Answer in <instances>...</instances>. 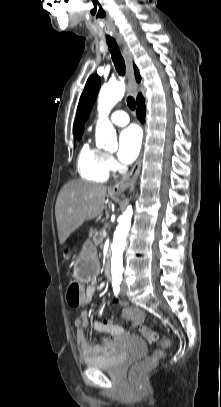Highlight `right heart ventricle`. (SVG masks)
Returning <instances> with one entry per match:
<instances>
[{"label": "right heart ventricle", "instance_id": "obj_1", "mask_svg": "<svg viewBox=\"0 0 221 407\" xmlns=\"http://www.w3.org/2000/svg\"><path fill=\"white\" fill-rule=\"evenodd\" d=\"M105 153L100 149L85 144L77 159V170L80 176L93 182H104L109 171L105 165Z\"/></svg>", "mask_w": 221, "mask_h": 407}]
</instances>
